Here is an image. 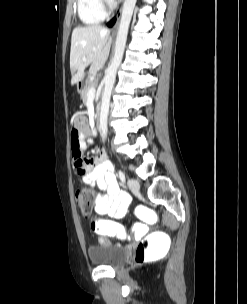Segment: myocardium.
<instances>
[{"instance_id": "f54148a6", "label": "myocardium", "mask_w": 247, "mask_h": 304, "mask_svg": "<svg viewBox=\"0 0 247 304\" xmlns=\"http://www.w3.org/2000/svg\"><path fill=\"white\" fill-rule=\"evenodd\" d=\"M100 7L102 11L107 15L112 10V5L108 0H99Z\"/></svg>"}]
</instances>
